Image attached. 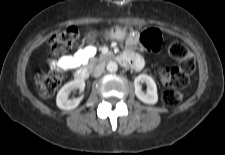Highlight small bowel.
<instances>
[{
  "label": "small bowel",
  "instance_id": "obj_1",
  "mask_svg": "<svg viewBox=\"0 0 225 155\" xmlns=\"http://www.w3.org/2000/svg\"><path fill=\"white\" fill-rule=\"evenodd\" d=\"M139 47V36L137 33H132L127 39V50L123 54L132 61L137 63L138 68L142 67V60L136 53L137 48ZM96 52L94 46H87L82 49H79L73 55H66L61 57L56 64L62 68H74L81 64H84L91 58Z\"/></svg>",
  "mask_w": 225,
  "mask_h": 155
}]
</instances>
